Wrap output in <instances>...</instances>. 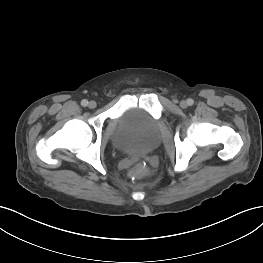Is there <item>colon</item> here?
Masks as SVG:
<instances>
[{"label":"colon","mask_w":263,"mask_h":263,"mask_svg":"<svg viewBox=\"0 0 263 263\" xmlns=\"http://www.w3.org/2000/svg\"><path fill=\"white\" fill-rule=\"evenodd\" d=\"M131 174L135 177H145L148 174V169L145 165L139 163L132 168Z\"/></svg>","instance_id":"obj_1"}]
</instances>
